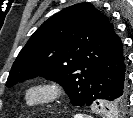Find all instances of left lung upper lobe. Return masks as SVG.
Wrapping results in <instances>:
<instances>
[{"mask_svg":"<svg viewBox=\"0 0 133 118\" xmlns=\"http://www.w3.org/2000/svg\"><path fill=\"white\" fill-rule=\"evenodd\" d=\"M117 36L93 5L70 6L34 32L13 63L6 86L41 76L64 86L73 106H84L92 77ZM126 104L127 98H120L100 107L118 113Z\"/></svg>","mask_w":133,"mask_h":118,"instance_id":"obj_1","label":"left lung upper lobe"}]
</instances>
